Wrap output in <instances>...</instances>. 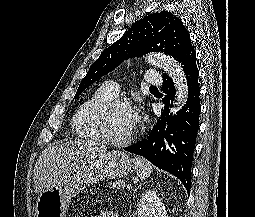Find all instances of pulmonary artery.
<instances>
[{"mask_svg": "<svg viewBox=\"0 0 255 217\" xmlns=\"http://www.w3.org/2000/svg\"><path fill=\"white\" fill-rule=\"evenodd\" d=\"M144 80L150 85H159L161 83V77L155 73L146 72L144 74ZM104 88L115 97L119 91L118 83L114 80L107 81L104 84Z\"/></svg>", "mask_w": 255, "mask_h": 217, "instance_id": "pulmonary-artery-1", "label": "pulmonary artery"}]
</instances>
